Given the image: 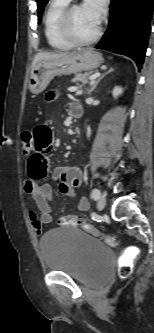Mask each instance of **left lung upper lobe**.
<instances>
[{
	"label": "left lung upper lobe",
	"instance_id": "obj_1",
	"mask_svg": "<svg viewBox=\"0 0 154 333\" xmlns=\"http://www.w3.org/2000/svg\"><path fill=\"white\" fill-rule=\"evenodd\" d=\"M48 0H37V11H38V23L41 22L42 14L44 12V7L47 4Z\"/></svg>",
	"mask_w": 154,
	"mask_h": 333
}]
</instances>
